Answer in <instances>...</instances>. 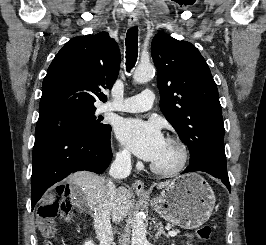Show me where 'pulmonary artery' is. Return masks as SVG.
<instances>
[{
    "label": "pulmonary artery",
    "instance_id": "1",
    "mask_svg": "<svg viewBox=\"0 0 266 245\" xmlns=\"http://www.w3.org/2000/svg\"><path fill=\"white\" fill-rule=\"evenodd\" d=\"M152 95V91H143L140 95L128 96L124 100H112L107 103L106 109L122 112H144L153 106Z\"/></svg>",
    "mask_w": 266,
    "mask_h": 245
}]
</instances>
